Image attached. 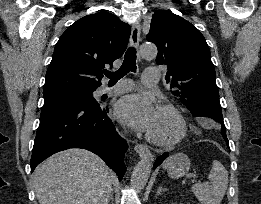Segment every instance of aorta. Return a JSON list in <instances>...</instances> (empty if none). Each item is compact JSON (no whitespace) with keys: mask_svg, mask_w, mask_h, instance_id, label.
Instances as JSON below:
<instances>
[{"mask_svg":"<svg viewBox=\"0 0 261 204\" xmlns=\"http://www.w3.org/2000/svg\"><path fill=\"white\" fill-rule=\"evenodd\" d=\"M140 54L143 58H155L157 56V48L153 44H143L140 47ZM152 163L148 159H142L135 166L131 175V185L136 190L145 187L151 174Z\"/></svg>","mask_w":261,"mask_h":204,"instance_id":"1","label":"aorta"}]
</instances>
